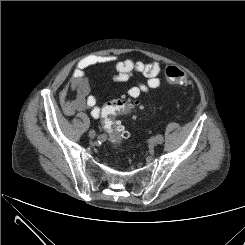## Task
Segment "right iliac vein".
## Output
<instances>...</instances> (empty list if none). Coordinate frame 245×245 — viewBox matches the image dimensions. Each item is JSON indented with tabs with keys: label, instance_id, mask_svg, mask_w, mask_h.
Here are the masks:
<instances>
[{
	"label": "right iliac vein",
	"instance_id": "1",
	"mask_svg": "<svg viewBox=\"0 0 245 245\" xmlns=\"http://www.w3.org/2000/svg\"><path fill=\"white\" fill-rule=\"evenodd\" d=\"M95 136H96L95 132H94L93 130H90V131H89V137H90L91 139H93V138H95Z\"/></svg>",
	"mask_w": 245,
	"mask_h": 245
}]
</instances>
